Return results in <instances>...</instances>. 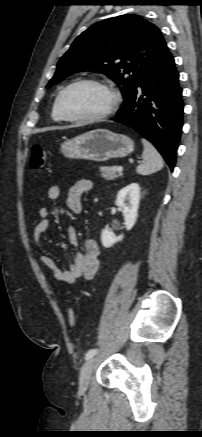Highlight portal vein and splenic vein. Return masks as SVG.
<instances>
[{"label": "portal vein and splenic vein", "instance_id": "1", "mask_svg": "<svg viewBox=\"0 0 202 437\" xmlns=\"http://www.w3.org/2000/svg\"><path fill=\"white\" fill-rule=\"evenodd\" d=\"M122 171H123V167H122V166H119V167L117 168V172L121 173Z\"/></svg>", "mask_w": 202, "mask_h": 437}]
</instances>
